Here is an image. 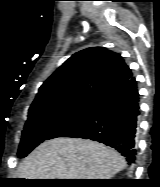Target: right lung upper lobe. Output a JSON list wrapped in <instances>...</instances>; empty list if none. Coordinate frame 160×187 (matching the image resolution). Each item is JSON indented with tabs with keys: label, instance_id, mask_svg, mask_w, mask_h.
Wrapping results in <instances>:
<instances>
[{
	"label": "right lung upper lobe",
	"instance_id": "cb5924a9",
	"mask_svg": "<svg viewBox=\"0 0 160 187\" xmlns=\"http://www.w3.org/2000/svg\"><path fill=\"white\" fill-rule=\"evenodd\" d=\"M132 76L122 57L102 47L72 55L39 88L30 109L78 99L99 100Z\"/></svg>",
	"mask_w": 160,
	"mask_h": 187
}]
</instances>
